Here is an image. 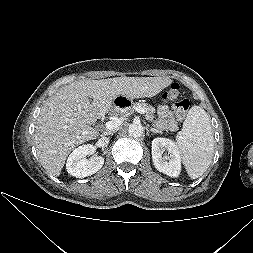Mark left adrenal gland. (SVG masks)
I'll return each mask as SVG.
<instances>
[{"label": "left adrenal gland", "instance_id": "obj_1", "mask_svg": "<svg viewBox=\"0 0 253 253\" xmlns=\"http://www.w3.org/2000/svg\"><path fill=\"white\" fill-rule=\"evenodd\" d=\"M148 132L162 133L161 131H159L158 129H155V128H150V129L148 130Z\"/></svg>", "mask_w": 253, "mask_h": 253}]
</instances>
